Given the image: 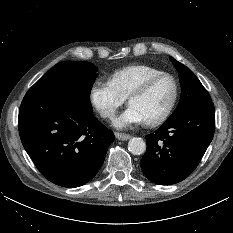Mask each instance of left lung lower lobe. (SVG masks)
Segmentation results:
<instances>
[{"label":"left lung lower lobe","mask_w":233,"mask_h":233,"mask_svg":"<svg viewBox=\"0 0 233 233\" xmlns=\"http://www.w3.org/2000/svg\"><path fill=\"white\" fill-rule=\"evenodd\" d=\"M215 130L214 104L193 107L166 120L146 136L147 151L141 160L144 175L160 185L187 178L197 167Z\"/></svg>","instance_id":"obj_1"}]
</instances>
